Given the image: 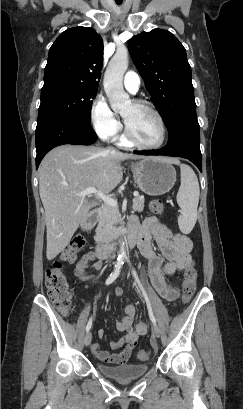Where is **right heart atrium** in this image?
<instances>
[{
    "instance_id": "d8ad5b80",
    "label": "right heart atrium",
    "mask_w": 243,
    "mask_h": 409,
    "mask_svg": "<svg viewBox=\"0 0 243 409\" xmlns=\"http://www.w3.org/2000/svg\"><path fill=\"white\" fill-rule=\"evenodd\" d=\"M90 121L95 132L105 139H116L122 130L120 121L103 96H96L90 108Z\"/></svg>"
}]
</instances>
